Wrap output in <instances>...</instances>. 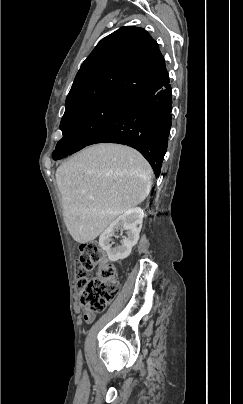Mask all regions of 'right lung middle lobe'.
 <instances>
[{
    "label": "right lung middle lobe",
    "mask_w": 243,
    "mask_h": 404,
    "mask_svg": "<svg viewBox=\"0 0 243 404\" xmlns=\"http://www.w3.org/2000/svg\"><path fill=\"white\" fill-rule=\"evenodd\" d=\"M126 101L117 98L101 99L65 112L60 124L63 138L52 153L53 159H62L90 145Z\"/></svg>",
    "instance_id": "1"
}]
</instances>
